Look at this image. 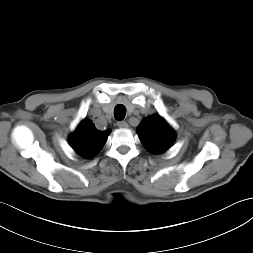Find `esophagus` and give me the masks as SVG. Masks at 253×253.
Masks as SVG:
<instances>
[{
	"mask_svg": "<svg viewBox=\"0 0 253 253\" xmlns=\"http://www.w3.org/2000/svg\"><path fill=\"white\" fill-rule=\"evenodd\" d=\"M117 126L119 128H127L128 124L125 121H119V122H117Z\"/></svg>",
	"mask_w": 253,
	"mask_h": 253,
	"instance_id": "esophagus-1",
	"label": "esophagus"
}]
</instances>
